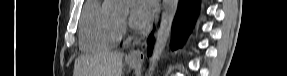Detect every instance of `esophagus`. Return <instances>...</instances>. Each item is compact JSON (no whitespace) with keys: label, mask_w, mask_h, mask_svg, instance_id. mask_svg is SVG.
I'll list each match as a JSON object with an SVG mask.
<instances>
[{"label":"esophagus","mask_w":287,"mask_h":76,"mask_svg":"<svg viewBox=\"0 0 287 76\" xmlns=\"http://www.w3.org/2000/svg\"><path fill=\"white\" fill-rule=\"evenodd\" d=\"M145 58L144 52L142 49L131 50L128 54V59L134 62H143Z\"/></svg>","instance_id":"obj_1"}]
</instances>
